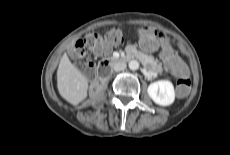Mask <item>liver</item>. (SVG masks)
I'll use <instances>...</instances> for the list:
<instances>
[{
  "label": "liver",
  "mask_w": 230,
  "mask_h": 155,
  "mask_svg": "<svg viewBox=\"0 0 230 155\" xmlns=\"http://www.w3.org/2000/svg\"><path fill=\"white\" fill-rule=\"evenodd\" d=\"M57 88L60 95L72 105H78L87 97L88 81L71 63L66 53L62 55L59 62Z\"/></svg>",
  "instance_id": "liver-1"
}]
</instances>
